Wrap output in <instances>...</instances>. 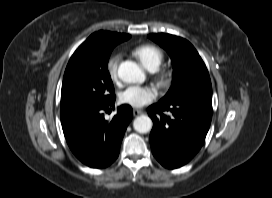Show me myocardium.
<instances>
[{
    "mask_svg": "<svg viewBox=\"0 0 272 198\" xmlns=\"http://www.w3.org/2000/svg\"><path fill=\"white\" fill-rule=\"evenodd\" d=\"M157 82L161 86H165L170 82L169 75L165 72L158 73Z\"/></svg>",
    "mask_w": 272,
    "mask_h": 198,
    "instance_id": "f54148a6",
    "label": "myocardium"
}]
</instances>
